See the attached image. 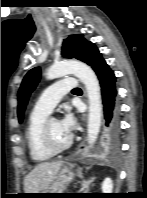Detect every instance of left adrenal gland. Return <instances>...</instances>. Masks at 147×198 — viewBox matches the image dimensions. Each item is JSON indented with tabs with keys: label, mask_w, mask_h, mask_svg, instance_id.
I'll return each instance as SVG.
<instances>
[{
	"label": "left adrenal gland",
	"mask_w": 147,
	"mask_h": 198,
	"mask_svg": "<svg viewBox=\"0 0 147 198\" xmlns=\"http://www.w3.org/2000/svg\"><path fill=\"white\" fill-rule=\"evenodd\" d=\"M95 180V177H92L91 179H83L82 183H81V190L84 193H88L89 191V187L91 185V183Z\"/></svg>",
	"instance_id": "left-adrenal-gland-1"
}]
</instances>
